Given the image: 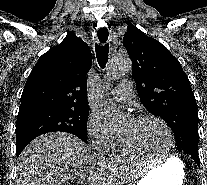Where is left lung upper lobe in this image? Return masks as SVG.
<instances>
[{
  "label": "left lung upper lobe",
  "mask_w": 207,
  "mask_h": 185,
  "mask_svg": "<svg viewBox=\"0 0 207 185\" xmlns=\"http://www.w3.org/2000/svg\"><path fill=\"white\" fill-rule=\"evenodd\" d=\"M123 45L141 103L169 125L179 152L198 154L197 104L180 62L134 25L128 26Z\"/></svg>",
  "instance_id": "5c2ea615"
}]
</instances>
